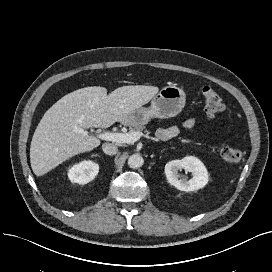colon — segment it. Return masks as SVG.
Masks as SVG:
<instances>
[{"mask_svg":"<svg viewBox=\"0 0 272 272\" xmlns=\"http://www.w3.org/2000/svg\"><path fill=\"white\" fill-rule=\"evenodd\" d=\"M202 96L204 101V111L207 118H215L225 109V104L223 103L220 95L213 88L204 87L202 89ZM218 153L224 161L229 163H238L243 158V154L240 150L227 145L220 146L218 148Z\"/></svg>","mask_w":272,"mask_h":272,"instance_id":"obj_1","label":"colon"}]
</instances>
